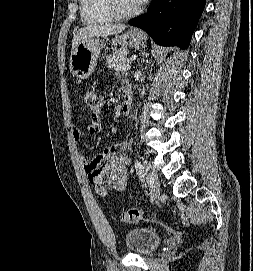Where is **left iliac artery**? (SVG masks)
Segmentation results:
<instances>
[{"mask_svg":"<svg viewBox=\"0 0 253 271\" xmlns=\"http://www.w3.org/2000/svg\"><path fill=\"white\" fill-rule=\"evenodd\" d=\"M135 169H136L137 175L143 181L144 180V166L142 165L141 161L138 159L135 160Z\"/></svg>","mask_w":253,"mask_h":271,"instance_id":"44dca946","label":"left iliac artery"}]
</instances>
